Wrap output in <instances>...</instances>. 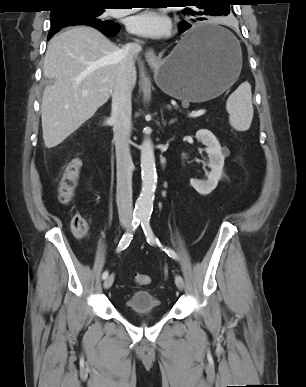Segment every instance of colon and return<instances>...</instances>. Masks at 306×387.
I'll list each match as a JSON object with an SVG mask.
<instances>
[{
  "label": "colon",
  "mask_w": 306,
  "mask_h": 387,
  "mask_svg": "<svg viewBox=\"0 0 306 387\" xmlns=\"http://www.w3.org/2000/svg\"><path fill=\"white\" fill-rule=\"evenodd\" d=\"M82 168V161L80 158L70 160L58 181V199L62 204H69L72 202L75 190L78 184L80 172ZM71 232L75 237L81 238L89 232V221L82 215H75L70 223ZM134 283L139 286L150 284L151 278L145 274H135L133 276Z\"/></svg>",
  "instance_id": "obj_1"
}]
</instances>
